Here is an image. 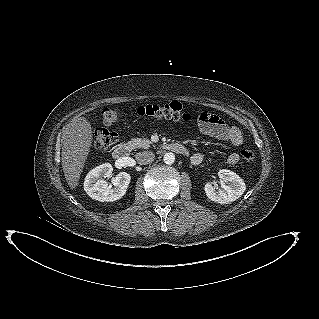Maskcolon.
I'll return each mask as SVG.
<instances>
[{
  "instance_id": "obj_1",
  "label": "colon",
  "mask_w": 319,
  "mask_h": 319,
  "mask_svg": "<svg viewBox=\"0 0 319 319\" xmlns=\"http://www.w3.org/2000/svg\"><path fill=\"white\" fill-rule=\"evenodd\" d=\"M205 113L206 112L201 113L199 119H202ZM136 115L139 117L168 120L189 121L192 119V114L188 112L185 106L180 102L142 105L136 109ZM102 117L103 123L110 126L118 122L122 116L117 109L105 107L102 111ZM93 138V144L96 149L107 150L116 143L118 135L107 128H98L95 130ZM241 156L248 163H252L255 159V153L249 147H244L241 150Z\"/></svg>"
}]
</instances>
